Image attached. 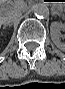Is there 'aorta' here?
I'll list each match as a JSON object with an SVG mask.
<instances>
[{"label": "aorta", "mask_w": 65, "mask_h": 89, "mask_svg": "<svg viewBox=\"0 0 65 89\" xmlns=\"http://www.w3.org/2000/svg\"><path fill=\"white\" fill-rule=\"evenodd\" d=\"M32 10H33L34 15L38 19H48L50 16V9L48 7V4L45 2L36 3L32 7Z\"/></svg>", "instance_id": "762f6f07"}]
</instances>
